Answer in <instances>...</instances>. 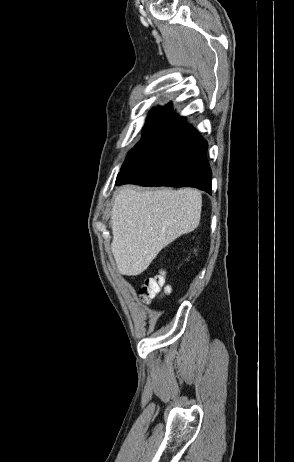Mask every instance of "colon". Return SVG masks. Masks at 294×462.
<instances>
[{
	"mask_svg": "<svg viewBox=\"0 0 294 462\" xmlns=\"http://www.w3.org/2000/svg\"><path fill=\"white\" fill-rule=\"evenodd\" d=\"M165 285V271L161 270L153 277L148 278L145 283L139 289L138 296L140 300L149 303L155 299L165 289L166 293L170 292V287H164Z\"/></svg>",
	"mask_w": 294,
	"mask_h": 462,
	"instance_id": "5ec220e1",
	"label": "colon"
}]
</instances>
